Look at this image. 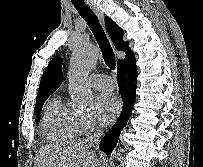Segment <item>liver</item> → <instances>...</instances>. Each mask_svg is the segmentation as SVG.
Masks as SVG:
<instances>
[{
    "label": "liver",
    "instance_id": "liver-1",
    "mask_svg": "<svg viewBox=\"0 0 203 167\" xmlns=\"http://www.w3.org/2000/svg\"><path fill=\"white\" fill-rule=\"evenodd\" d=\"M36 167H100L95 152L85 142H70L41 148Z\"/></svg>",
    "mask_w": 203,
    "mask_h": 167
}]
</instances>
